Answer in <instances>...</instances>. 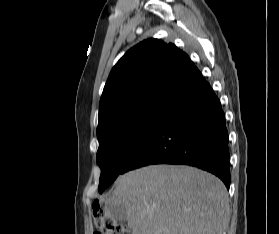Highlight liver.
Instances as JSON below:
<instances>
[{
    "instance_id": "liver-1",
    "label": "liver",
    "mask_w": 279,
    "mask_h": 234,
    "mask_svg": "<svg viewBox=\"0 0 279 234\" xmlns=\"http://www.w3.org/2000/svg\"><path fill=\"white\" fill-rule=\"evenodd\" d=\"M105 205H122L132 234H223L225 185L194 167L152 165L121 175Z\"/></svg>"
}]
</instances>
